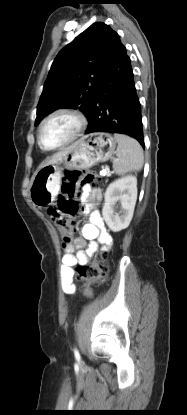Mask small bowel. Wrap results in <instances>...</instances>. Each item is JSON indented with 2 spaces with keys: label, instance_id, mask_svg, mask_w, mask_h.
Instances as JSON below:
<instances>
[{
  "label": "small bowel",
  "instance_id": "small-bowel-1",
  "mask_svg": "<svg viewBox=\"0 0 187 415\" xmlns=\"http://www.w3.org/2000/svg\"><path fill=\"white\" fill-rule=\"evenodd\" d=\"M80 192L83 202L81 213L89 217V222L82 226L81 234L72 243L66 244V252L62 256L61 286L68 295L76 291L73 283L74 267L87 265L92 255L97 252L99 243L106 249L113 241L97 208L103 200L101 189L86 185L82 186Z\"/></svg>",
  "mask_w": 187,
  "mask_h": 415
}]
</instances>
